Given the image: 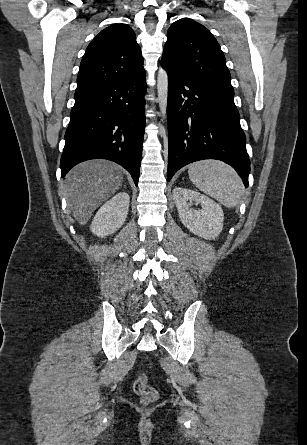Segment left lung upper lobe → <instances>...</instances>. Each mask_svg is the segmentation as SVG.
Instances as JSON below:
<instances>
[{
    "mask_svg": "<svg viewBox=\"0 0 307 445\" xmlns=\"http://www.w3.org/2000/svg\"><path fill=\"white\" fill-rule=\"evenodd\" d=\"M161 63L206 90L234 97L231 75L218 42L194 20L182 18L170 26Z\"/></svg>",
    "mask_w": 307,
    "mask_h": 445,
    "instance_id": "obj_1",
    "label": "left lung upper lobe"
}]
</instances>
